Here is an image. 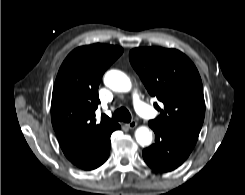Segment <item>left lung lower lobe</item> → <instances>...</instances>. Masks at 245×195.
<instances>
[{
  "mask_svg": "<svg viewBox=\"0 0 245 195\" xmlns=\"http://www.w3.org/2000/svg\"><path fill=\"white\" fill-rule=\"evenodd\" d=\"M151 128L156 134L155 143L143 150L145 162L160 172L176 169L188 158L197 140L171 129Z\"/></svg>",
  "mask_w": 245,
  "mask_h": 195,
  "instance_id": "left-lung-lower-lobe-1",
  "label": "left lung lower lobe"
}]
</instances>
